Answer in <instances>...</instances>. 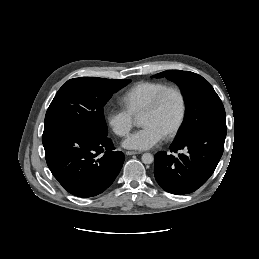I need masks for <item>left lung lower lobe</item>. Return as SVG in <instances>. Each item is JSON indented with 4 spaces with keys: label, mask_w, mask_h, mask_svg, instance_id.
I'll use <instances>...</instances> for the list:
<instances>
[{
    "label": "left lung lower lobe",
    "mask_w": 259,
    "mask_h": 259,
    "mask_svg": "<svg viewBox=\"0 0 259 259\" xmlns=\"http://www.w3.org/2000/svg\"><path fill=\"white\" fill-rule=\"evenodd\" d=\"M226 133L225 128L204 127L170 146L171 152L185 149L186 154L158 152L154 169L158 184L177 195L197 190L214 172L223 154Z\"/></svg>",
    "instance_id": "0a47b994"
}]
</instances>
